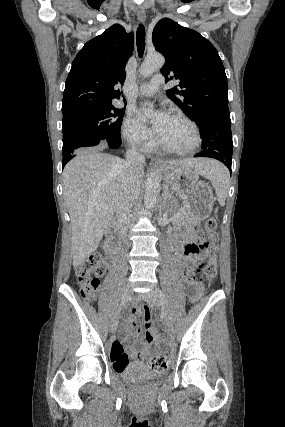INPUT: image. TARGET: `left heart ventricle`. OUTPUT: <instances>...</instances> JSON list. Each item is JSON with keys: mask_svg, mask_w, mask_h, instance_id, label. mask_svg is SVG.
Returning a JSON list of instances; mask_svg holds the SVG:
<instances>
[{"mask_svg": "<svg viewBox=\"0 0 285 427\" xmlns=\"http://www.w3.org/2000/svg\"><path fill=\"white\" fill-rule=\"evenodd\" d=\"M160 140L178 149L189 148L195 141L191 127L184 121L173 117L168 118Z\"/></svg>", "mask_w": 285, "mask_h": 427, "instance_id": "obj_1", "label": "left heart ventricle"}]
</instances>
